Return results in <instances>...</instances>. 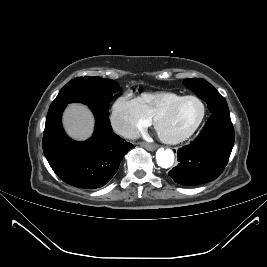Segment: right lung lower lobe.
I'll return each instance as SVG.
<instances>
[{
  "instance_id": "obj_1",
  "label": "right lung lower lobe",
  "mask_w": 267,
  "mask_h": 267,
  "mask_svg": "<svg viewBox=\"0 0 267 267\" xmlns=\"http://www.w3.org/2000/svg\"><path fill=\"white\" fill-rule=\"evenodd\" d=\"M64 108L47 114L44 155L65 183L83 189L100 188L114 176L122 158L133 145L114 134L109 113L96 108H91L96 119L93 136L84 142L70 139L61 124Z\"/></svg>"
}]
</instances>
